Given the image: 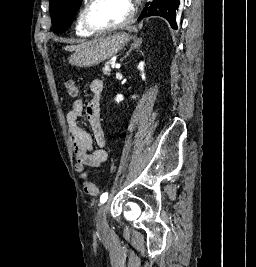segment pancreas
I'll return each mask as SVG.
<instances>
[{
	"label": "pancreas",
	"mask_w": 256,
	"mask_h": 267,
	"mask_svg": "<svg viewBox=\"0 0 256 267\" xmlns=\"http://www.w3.org/2000/svg\"><path fill=\"white\" fill-rule=\"evenodd\" d=\"M102 70H103V74H107V76H110L111 70H110V66H108V62H107V64H105V66H104V68H102Z\"/></svg>",
	"instance_id": "pancreas-1"
}]
</instances>
